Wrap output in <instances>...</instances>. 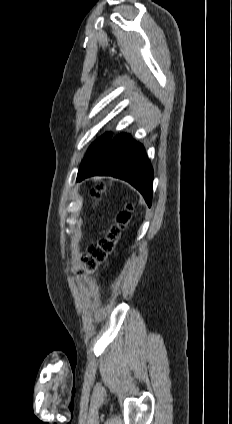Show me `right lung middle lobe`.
<instances>
[{
    "instance_id": "right-lung-middle-lobe-1",
    "label": "right lung middle lobe",
    "mask_w": 232,
    "mask_h": 424,
    "mask_svg": "<svg viewBox=\"0 0 232 424\" xmlns=\"http://www.w3.org/2000/svg\"><path fill=\"white\" fill-rule=\"evenodd\" d=\"M111 137L110 133L104 134L102 137L98 138L92 145L89 147L82 164L80 166L78 175L81 174L86 167L95 159V157L100 153L106 143L109 141Z\"/></svg>"
}]
</instances>
